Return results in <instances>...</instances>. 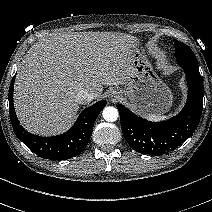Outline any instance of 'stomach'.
<instances>
[{
  "instance_id": "0dacf381",
  "label": "stomach",
  "mask_w": 212,
  "mask_h": 212,
  "mask_svg": "<svg viewBox=\"0 0 212 212\" xmlns=\"http://www.w3.org/2000/svg\"><path fill=\"white\" fill-rule=\"evenodd\" d=\"M123 83L115 90L120 99L143 114H163L172 105V93L154 70L139 44L127 50L123 65Z\"/></svg>"
}]
</instances>
